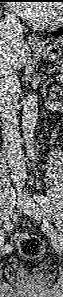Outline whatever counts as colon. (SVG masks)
Segmentation results:
<instances>
[{
	"label": "colon",
	"mask_w": 63,
	"mask_h": 297,
	"mask_svg": "<svg viewBox=\"0 0 63 297\" xmlns=\"http://www.w3.org/2000/svg\"><path fill=\"white\" fill-rule=\"evenodd\" d=\"M15 241L25 257L30 259H40L42 257L44 246L38 237L21 233L16 235Z\"/></svg>",
	"instance_id": "1"
}]
</instances>
